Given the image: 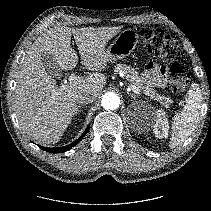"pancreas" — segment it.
I'll return each mask as SVG.
<instances>
[{"mask_svg": "<svg viewBox=\"0 0 211 211\" xmlns=\"http://www.w3.org/2000/svg\"><path fill=\"white\" fill-rule=\"evenodd\" d=\"M115 71L123 72L125 78L128 82L131 83V85L138 88L144 95L158 101L163 107L168 108L171 105L172 100L170 99V97L162 96L154 89H152L150 85L146 83V81L141 76H139V73L135 68H132L131 66H127L125 64H117L115 66Z\"/></svg>", "mask_w": 211, "mask_h": 211, "instance_id": "pancreas-1", "label": "pancreas"}]
</instances>
